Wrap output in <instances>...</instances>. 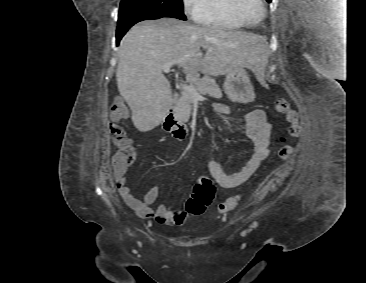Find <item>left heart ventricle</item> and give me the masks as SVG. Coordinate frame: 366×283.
Listing matches in <instances>:
<instances>
[{
  "label": "left heart ventricle",
  "mask_w": 366,
  "mask_h": 283,
  "mask_svg": "<svg viewBox=\"0 0 366 283\" xmlns=\"http://www.w3.org/2000/svg\"><path fill=\"white\" fill-rule=\"evenodd\" d=\"M242 11L247 21L254 23L260 15V6L256 0H245Z\"/></svg>",
  "instance_id": "obj_1"
}]
</instances>
